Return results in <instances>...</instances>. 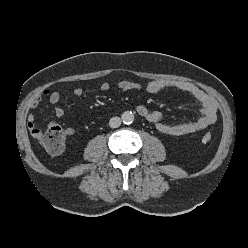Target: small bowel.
<instances>
[{"mask_svg":"<svg viewBox=\"0 0 248 248\" xmlns=\"http://www.w3.org/2000/svg\"><path fill=\"white\" fill-rule=\"evenodd\" d=\"M117 87L121 91H134L139 90L141 88V85L130 80H121L119 81ZM169 88L177 89L191 95L201 107L200 117L192 122L168 124L163 121V115L160 111L150 110L146 106L141 104L137 105L136 112L149 123L153 124L159 132L172 136H180L203 131L216 121L217 104L215 100L207 93H205L202 89L197 87L195 84L188 81L180 80L153 79L147 81L144 85L145 91L149 94H155ZM100 90L103 92H108L110 90V84L107 82L101 83ZM72 93L76 97H80L83 95V89L75 86L72 88ZM46 99L53 106L54 114L56 115V117H63L64 110L59 105L61 94L57 90H43L40 95L32 102L31 108H37L39 104ZM27 125L32 136L38 138L39 129L37 128L35 123L34 113H29L27 117ZM66 133L68 135H72L74 133V130L72 128H67Z\"/></svg>","mask_w":248,"mask_h":248,"instance_id":"obj_1","label":"small bowel"}]
</instances>
